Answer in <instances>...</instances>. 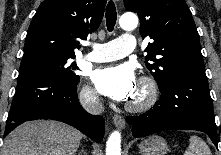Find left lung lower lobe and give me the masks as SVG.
<instances>
[{
	"mask_svg": "<svg viewBox=\"0 0 221 155\" xmlns=\"http://www.w3.org/2000/svg\"><path fill=\"white\" fill-rule=\"evenodd\" d=\"M160 100L146 113L127 117L132 135L144 137L169 129H192L206 133L218 147L213 103L205 72L174 78Z\"/></svg>",
	"mask_w": 221,
	"mask_h": 155,
	"instance_id": "obj_1",
	"label": "left lung lower lobe"
}]
</instances>
